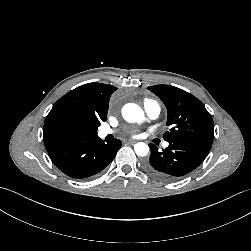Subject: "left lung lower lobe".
I'll return each instance as SVG.
<instances>
[{
    "label": "left lung lower lobe",
    "instance_id": "1",
    "mask_svg": "<svg viewBox=\"0 0 251 251\" xmlns=\"http://www.w3.org/2000/svg\"><path fill=\"white\" fill-rule=\"evenodd\" d=\"M149 147L151 155L146 168L152 175L164 181H175L193 171L204 161L210 150L186 142H169V146L162 152L152 143Z\"/></svg>",
    "mask_w": 251,
    "mask_h": 251
}]
</instances>
